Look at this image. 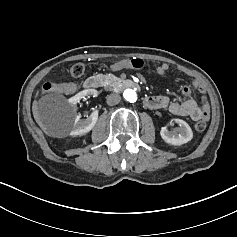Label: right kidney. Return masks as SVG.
Returning a JSON list of instances; mask_svg holds the SVG:
<instances>
[{"mask_svg": "<svg viewBox=\"0 0 237 237\" xmlns=\"http://www.w3.org/2000/svg\"><path fill=\"white\" fill-rule=\"evenodd\" d=\"M86 96H97L95 90H85L77 95L73 96L68 100L69 104L74 110L77 109L78 103ZM98 120L97 112H93L87 119H81L80 116L76 115L73 122V128L70 131L71 136H80L89 133L96 125Z\"/></svg>", "mask_w": 237, "mask_h": 237, "instance_id": "obj_1", "label": "right kidney"}]
</instances>
